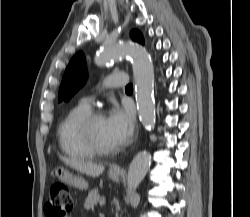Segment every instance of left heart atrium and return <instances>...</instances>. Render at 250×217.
Here are the masks:
<instances>
[{"label":"left heart atrium","mask_w":250,"mask_h":217,"mask_svg":"<svg viewBox=\"0 0 250 217\" xmlns=\"http://www.w3.org/2000/svg\"><path fill=\"white\" fill-rule=\"evenodd\" d=\"M107 125L117 145L125 144L134 131V116L130 109L115 105L106 117Z\"/></svg>","instance_id":"left-heart-atrium-1"}]
</instances>
